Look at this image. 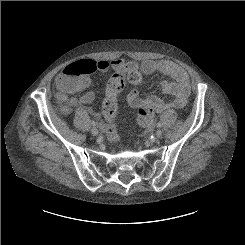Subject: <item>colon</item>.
Instances as JSON below:
<instances>
[{"instance_id":"obj_1","label":"colon","mask_w":245,"mask_h":245,"mask_svg":"<svg viewBox=\"0 0 245 245\" xmlns=\"http://www.w3.org/2000/svg\"><path fill=\"white\" fill-rule=\"evenodd\" d=\"M97 70L96 63L88 59H79L68 64L64 69V77L58 81V87L67 93H72L87 87V77ZM141 74L132 70L121 72L112 77L108 93L103 101V114L109 122L108 135L112 140L117 139L114 117L117 112L115 96L127 85H140ZM154 118V109L150 104H142L138 108L137 119L141 126H148Z\"/></svg>"}]
</instances>
